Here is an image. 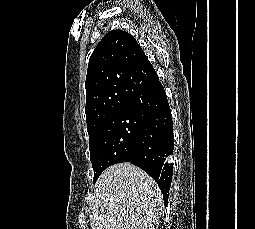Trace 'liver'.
Instances as JSON below:
<instances>
[{
	"mask_svg": "<svg viewBox=\"0 0 255 229\" xmlns=\"http://www.w3.org/2000/svg\"><path fill=\"white\" fill-rule=\"evenodd\" d=\"M163 206L156 182L130 163L107 168L95 184L92 229H154Z\"/></svg>",
	"mask_w": 255,
	"mask_h": 229,
	"instance_id": "6515ba94",
	"label": "liver"
}]
</instances>
